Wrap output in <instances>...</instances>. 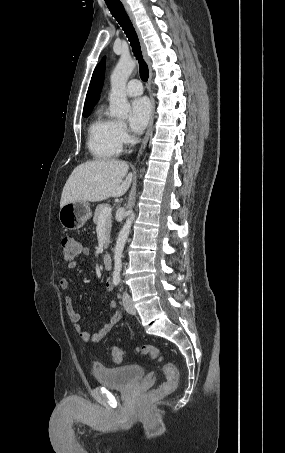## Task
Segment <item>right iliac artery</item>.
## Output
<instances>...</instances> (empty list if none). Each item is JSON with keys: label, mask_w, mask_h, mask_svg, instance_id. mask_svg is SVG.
I'll return each mask as SVG.
<instances>
[{"label": "right iliac artery", "mask_w": 285, "mask_h": 453, "mask_svg": "<svg viewBox=\"0 0 285 453\" xmlns=\"http://www.w3.org/2000/svg\"><path fill=\"white\" fill-rule=\"evenodd\" d=\"M121 281L120 274L118 272L113 275V284L117 286Z\"/></svg>", "instance_id": "82829eb1"}]
</instances>
